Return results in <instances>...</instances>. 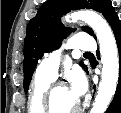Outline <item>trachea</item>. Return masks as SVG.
<instances>
[{"label": "trachea", "mask_w": 121, "mask_h": 113, "mask_svg": "<svg viewBox=\"0 0 121 113\" xmlns=\"http://www.w3.org/2000/svg\"><path fill=\"white\" fill-rule=\"evenodd\" d=\"M85 55H91V53H88V52H86V53H84Z\"/></svg>", "instance_id": "1"}]
</instances>
